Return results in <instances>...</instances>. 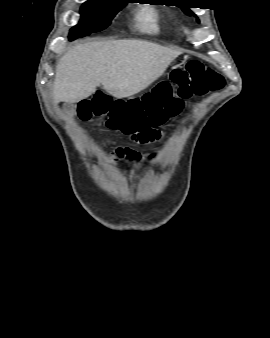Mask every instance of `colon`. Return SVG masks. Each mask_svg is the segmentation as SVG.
<instances>
[{
    "label": "colon",
    "instance_id": "5ec220e1",
    "mask_svg": "<svg viewBox=\"0 0 270 338\" xmlns=\"http://www.w3.org/2000/svg\"><path fill=\"white\" fill-rule=\"evenodd\" d=\"M223 85L224 79L219 73L199 60H191L185 70H175L169 82L159 83L140 99L112 101L107 93L95 92L81 104L79 117L88 121L106 116L111 128L130 135L138 143L147 144L161 137L162 132L156 128L178 115L184 100L193 94L217 91ZM129 156L134 159L135 153L129 152Z\"/></svg>",
    "mask_w": 270,
    "mask_h": 338
}]
</instances>
